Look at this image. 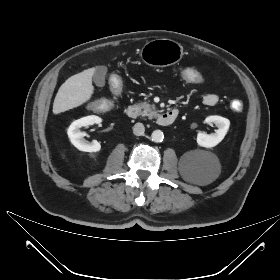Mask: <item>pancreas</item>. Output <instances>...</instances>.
Here are the masks:
<instances>
[{
    "instance_id": "1",
    "label": "pancreas",
    "mask_w": 280,
    "mask_h": 280,
    "mask_svg": "<svg viewBox=\"0 0 280 280\" xmlns=\"http://www.w3.org/2000/svg\"><path fill=\"white\" fill-rule=\"evenodd\" d=\"M141 109V115L147 116L149 119L157 118L159 114L156 111V106L154 104H149L147 102H142L137 105Z\"/></svg>"
}]
</instances>
